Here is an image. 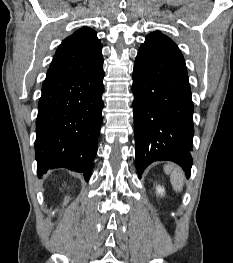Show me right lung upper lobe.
I'll list each match as a JSON object with an SVG mask.
<instances>
[{
	"label": "right lung upper lobe",
	"instance_id": "obj_1",
	"mask_svg": "<svg viewBox=\"0 0 233 263\" xmlns=\"http://www.w3.org/2000/svg\"><path fill=\"white\" fill-rule=\"evenodd\" d=\"M102 59V45L96 32L83 27L60 44L46 77L84 75L92 72Z\"/></svg>",
	"mask_w": 233,
	"mask_h": 263
}]
</instances>
